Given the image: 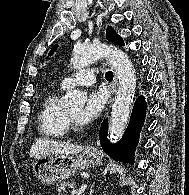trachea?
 <instances>
[{
  "label": "trachea",
  "instance_id": "3493384b",
  "mask_svg": "<svg viewBox=\"0 0 189 195\" xmlns=\"http://www.w3.org/2000/svg\"><path fill=\"white\" fill-rule=\"evenodd\" d=\"M113 72L112 71H107L106 72V74H105V78L107 79V80H111V79H113Z\"/></svg>",
  "mask_w": 189,
  "mask_h": 195
}]
</instances>
